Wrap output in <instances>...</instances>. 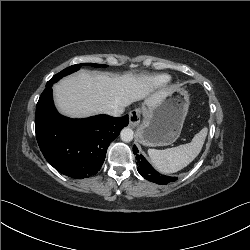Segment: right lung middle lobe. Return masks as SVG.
I'll list each match as a JSON object with an SVG mask.
<instances>
[{"label":"right lung middle lobe","mask_w":250,"mask_h":250,"mask_svg":"<svg viewBox=\"0 0 250 250\" xmlns=\"http://www.w3.org/2000/svg\"><path fill=\"white\" fill-rule=\"evenodd\" d=\"M84 65H89V66H93V67H103V66H106V65H103V64H94V63H83V64H76V65H72L68 68H65L64 70H62L61 72H59L58 74L54 75L48 82L46 85L48 84H53L55 83L56 81H58L60 78H62L63 76H66L68 74H71L75 71H77L78 69H80L81 66H84Z\"/></svg>","instance_id":"obj_1"}]
</instances>
